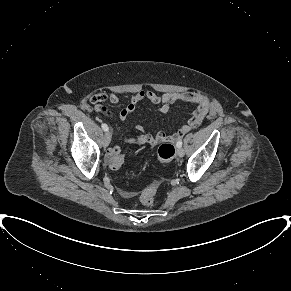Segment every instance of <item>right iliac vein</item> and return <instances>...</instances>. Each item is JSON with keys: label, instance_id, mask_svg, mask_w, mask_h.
I'll return each mask as SVG.
<instances>
[{"label": "right iliac vein", "instance_id": "1", "mask_svg": "<svg viewBox=\"0 0 291 291\" xmlns=\"http://www.w3.org/2000/svg\"><path fill=\"white\" fill-rule=\"evenodd\" d=\"M110 141H111V134L110 132L107 131L103 138V146L107 147L110 144Z\"/></svg>", "mask_w": 291, "mask_h": 291}]
</instances>
